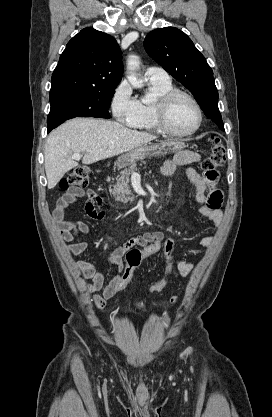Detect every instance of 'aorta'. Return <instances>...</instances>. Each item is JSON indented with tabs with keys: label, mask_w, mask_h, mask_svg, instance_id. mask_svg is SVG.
<instances>
[{
	"label": "aorta",
	"mask_w": 272,
	"mask_h": 417,
	"mask_svg": "<svg viewBox=\"0 0 272 417\" xmlns=\"http://www.w3.org/2000/svg\"><path fill=\"white\" fill-rule=\"evenodd\" d=\"M140 66V59L136 55H129L127 59V79L136 88L143 86V82L137 77L136 71Z\"/></svg>",
	"instance_id": "aorta-1"
}]
</instances>
